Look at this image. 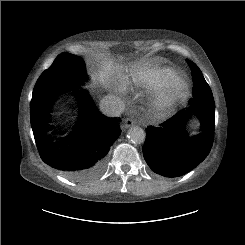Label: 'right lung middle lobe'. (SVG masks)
Returning <instances> with one entry per match:
<instances>
[{"label":"right lung middle lobe","mask_w":245,"mask_h":245,"mask_svg":"<svg viewBox=\"0 0 245 245\" xmlns=\"http://www.w3.org/2000/svg\"><path fill=\"white\" fill-rule=\"evenodd\" d=\"M87 79L86 67L82 58L69 53H62L38 79L33 90L31 103L37 102L50 93L78 87Z\"/></svg>","instance_id":"dd1d6c3e"}]
</instances>
